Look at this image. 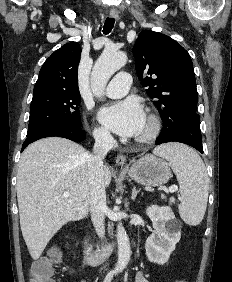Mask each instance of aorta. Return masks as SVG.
I'll list each match as a JSON object with an SVG mask.
<instances>
[{
	"mask_svg": "<svg viewBox=\"0 0 232 282\" xmlns=\"http://www.w3.org/2000/svg\"><path fill=\"white\" fill-rule=\"evenodd\" d=\"M127 62V55L117 50H105L96 61L91 73V88L95 96L104 94L105 87L111 76L122 68ZM118 261L115 266L116 272L123 271L130 260L131 249L129 238L119 222L117 226Z\"/></svg>",
	"mask_w": 232,
	"mask_h": 282,
	"instance_id": "aorta-1",
	"label": "aorta"
}]
</instances>
